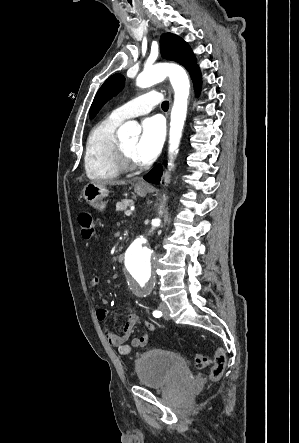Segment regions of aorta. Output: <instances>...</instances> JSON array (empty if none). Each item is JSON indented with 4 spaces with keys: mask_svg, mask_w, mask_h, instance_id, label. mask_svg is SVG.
<instances>
[{
    "mask_svg": "<svg viewBox=\"0 0 299 443\" xmlns=\"http://www.w3.org/2000/svg\"><path fill=\"white\" fill-rule=\"evenodd\" d=\"M169 77L174 89V104L171 110L169 135V166L173 167V156L179 149L182 131L187 115V104L190 83L185 70L174 64H157L144 69L137 77V86L150 87ZM141 132L140 126L134 122H126L118 129L120 139L137 137ZM160 220L155 219L149 228L130 244L125 254V268L135 281L133 290L136 295H146L152 286L153 253L149 246V238L157 231Z\"/></svg>",
    "mask_w": 299,
    "mask_h": 443,
    "instance_id": "aorta-1",
    "label": "aorta"
}]
</instances>
